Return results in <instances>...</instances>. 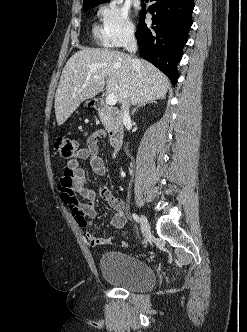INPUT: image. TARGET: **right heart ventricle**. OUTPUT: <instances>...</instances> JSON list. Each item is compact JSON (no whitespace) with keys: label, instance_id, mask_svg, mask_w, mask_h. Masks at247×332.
Wrapping results in <instances>:
<instances>
[{"label":"right heart ventricle","instance_id":"e07e8e85","mask_svg":"<svg viewBox=\"0 0 247 332\" xmlns=\"http://www.w3.org/2000/svg\"><path fill=\"white\" fill-rule=\"evenodd\" d=\"M93 34L99 42L104 43L101 30L97 26L93 28Z\"/></svg>","mask_w":247,"mask_h":332}]
</instances>
